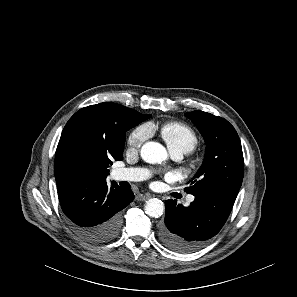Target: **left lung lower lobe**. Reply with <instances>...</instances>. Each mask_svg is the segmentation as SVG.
Instances as JSON below:
<instances>
[{
    "label": "left lung lower lobe",
    "instance_id": "0a47b994",
    "mask_svg": "<svg viewBox=\"0 0 297 297\" xmlns=\"http://www.w3.org/2000/svg\"><path fill=\"white\" fill-rule=\"evenodd\" d=\"M237 195L213 193L195 196L189 207L165 201L162 243L173 251L189 253L205 245L225 224Z\"/></svg>",
    "mask_w": 297,
    "mask_h": 297
}]
</instances>
